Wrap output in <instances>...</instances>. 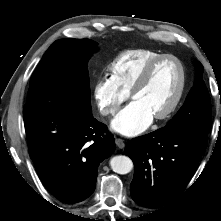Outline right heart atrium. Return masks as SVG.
Segmentation results:
<instances>
[{"label":"right heart atrium","mask_w":221,"mask_h":221,"mask_svg":"<svg viewBox=\"0 0 221 221\" xmlns=\"http://www.w3.org/2000/svg\"><path fill=\"white\" fill-rule=\"evenodd\" d=\"M93 97L103 116L115 115L128 94L123 92L110 78L103 76L93 86Z\"/></svg>","instance_id":"obj_1"}]
</instances>
